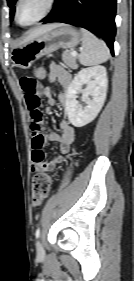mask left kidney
I'll list each match as a JSON object with an SVG mask.
<instances>
[{
	"label": "left kidney",
	"mask_w": 134,
	"mask_h": 281,
	"mask_svg": "<svg viewBox=\"0 0 134 281\" xmlns=\"http://www.w3.org/2000/svg\"><path fill=\"white\" fill-rule=\"evenodd\" d=\"M85 84L87 87L82 89ZM107 86L108 80L104 66L84 68L75 75L68 87L65 100V111L73 126L83 127L97 117L106 99ZM79 93L83 95L85 107L77 101Z\"/></svg>",
	"instance_id": "1"
}]
</instances>
